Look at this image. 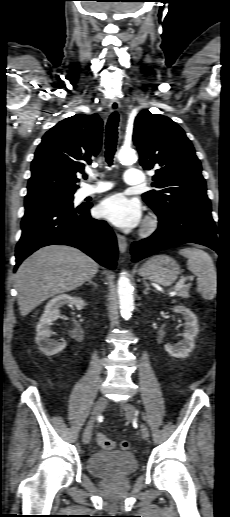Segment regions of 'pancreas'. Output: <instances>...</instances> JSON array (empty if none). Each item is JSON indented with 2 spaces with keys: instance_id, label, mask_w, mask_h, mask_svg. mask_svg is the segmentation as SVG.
<instances>
[{
  "instance_id": "pancreas-1",
  "label": "pancreas",
  "mask_w": 230,
  "mask_h": 517,
  "mask_svg": "<svg viewBox=\"0 0 230 517\" xmlns=\"http://www.w3.org/2000/svg\"><path fill=\"white\" fill-rule=\"evenodd\" d=\"M189 288L190 285H186L182 287L181 289L177 290V296L188 298L189 297Z\"/></svg>"
}]
</instances>
